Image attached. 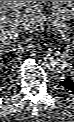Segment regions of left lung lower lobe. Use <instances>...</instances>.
Listing matches in <instances>:
<instances>
[{"label":"left lung lower lobe","mask_w":74,"mask_h":122,"mask_svg":"<svg viewBox=\"0 0 74 122\" xmlns=\"http://www.w3.org/2000/svg\"><path fill=\"white\" fill-rule=\"evenodd\" d=\"M64 89L74 92V79L72 77H67L60 82Z\"/></svg>","instance_id":"0a47b994"}]
</instances>
